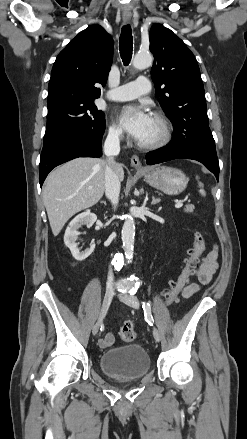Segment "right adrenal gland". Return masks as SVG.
Segmentation results:
<instances>
[{
  "label": "right adrenal gland",
  "instance_id": "right-adrenal-gland-1",
  "mask_svg": "<svg viewBox=\"0 0 247 439\" xmlns=\"http://www.w3.org/2000/svg\"><path fill=\"white\" fill-rule=\"evenodd\" d=\"M101 203H103L104 205H106L107 203H106V201H101Z\"/></svg>",
  "mask_w": 247,
  "mask_h": 439
}]
</instances>
